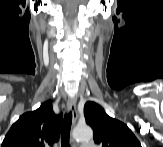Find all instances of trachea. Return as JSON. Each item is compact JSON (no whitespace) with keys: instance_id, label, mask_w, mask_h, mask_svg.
I'll use <instances>...</instances> for the list:
<instances>
[{"instance_id":"obj_1","label":"trachea","mask_w":163,"mask_h":147,"mask_svg":"<svg viewBox=\"0 0 163 147\" xmlns=\"http://www.w3.org/2000/svg\"><path fill=\"white\" fill-rule=\"evenodd\" d=\"M71 124H72V113L69 112L65 114L64 121H63L62 134H61L62 147H67L69 145Z\"/></svg>"}]
</instances>
